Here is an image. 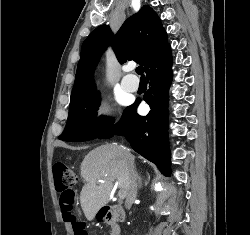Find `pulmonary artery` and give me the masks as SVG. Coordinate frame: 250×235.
Segmentation results:
<instances>
[{
	"mask_svg": "<svg viewBox=\"0 0 250 235\" xmlns=\"http://www.w3.org/2000/svg\"><path fill=\"white\" fill-rule=\"evenodd\" d=\"M122 87L128 92H134L139 87V81L137 79L131 80L130 76H125L122 80Z\"/></svg>",
	"mask_w": 250,
	"mask_h": 235,
	"instance_id": "pulmonary-artery-1",
	"label": "pulmonary artery"
}]
</instances>
